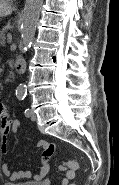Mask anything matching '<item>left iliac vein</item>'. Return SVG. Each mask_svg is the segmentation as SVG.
I'll use <instances>...</instances> for the list:
<instances>
[{
  "mask_svg": "<svg viewBox=\"0 0 119 185\" xmlns=\"http://www.w3.org/2000/svg\"><path fill=\"white\" fill-rule=\"evenodd\" d=\"M29 117L31 118V120L35 121L37 119V116L35 114V112L31 109L29 112Z\"/></svg>",
  "mask_w": 119,
  "mask_h": 185,
  "instance_id": "left-iliac-vein-1",
  "label": "left iliac vein"
}]
</instances>
